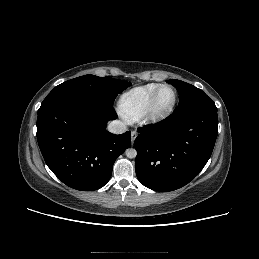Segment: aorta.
I'll list each match as a JSON object with an SVG mask.
<instances>
[{"label": "aorta", "instance_id": "762f6f07", "mask_svg": "<svg viewBox=\"0 0 259 259\" xmlns=\"http://www.w3.org/2000/svg\"><path fill=\"white\" fill-rule=\"evenodd\" d=\"M136 155H137V151H136L135 149L130 148V149H127V150H126V156H127L128 158H135Z\"/></svg>", "mask_w": 259, "mask_h": 259}]
</instances>
